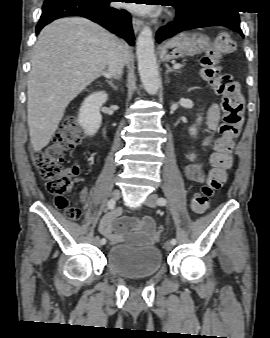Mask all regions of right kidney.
I'll return each instance as SVG.
<instances>
[{
    "label": "right kidney",
    "instance_id": "obj_1",
    "mask_svg": "<svg viewBox=\"0 0 270 338\" xmlns=\"http://www.w3.org/2000/svg\"><path fill=\"white\" fill-rule=\"evenodd\" d=\"M108 94L105 91L95 92L83 101L78 116V123L84 129L85 134L93 136L100 128L102 117L101 106L107 101Z\"/></svg>",
    "mask_w": 270,
    "mask_h": 338
}]
</instances>
